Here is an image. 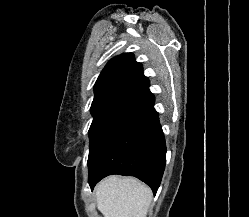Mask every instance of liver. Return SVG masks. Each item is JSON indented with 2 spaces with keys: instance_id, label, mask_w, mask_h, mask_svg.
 Instances as JSON below:
<instances>
[{
  "instance_id": "obj_1",
  "label": "liver",
  "mask_w": 249,
  "mask_h": 217,
  "mask_svg": "<svg viewBox=\"0 0 249 217\" xmlns=\"http://www.w3.org/2000/svg\"><path fill=\"white\" fill-rule=\"evenodd\" d=\"M151 189L135 178L110 176L96 186V204L104 217H146Z\"/></svg>"
}]
</instances>
